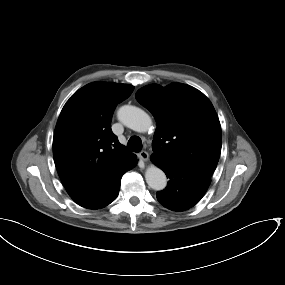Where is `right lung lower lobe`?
Masks as SVG:
<instances>
[{"instance_id": "1", "label": "right lung lower lobe", "mask_w": 285, "mask_h": 285, "mask_svg": "<svg viewBox=\"0 0 285 285\" xmlns=\"http://www.w3.org/2000/svg\"><path fill=\"white\" fill-rule=\"evenodd\" d=\"M136 164V158L132 161L131 163V166L129 169H131L133 166H135ZM120 181H121V178L115 183V185L107 192L106 196L101 199L99 202L93 204V205H90L86 208L88 209H100V208H103L105 206H107L108 204H110L111 202H113L118 193H119V188H120Z\"/></svg>"}]
</instances>
